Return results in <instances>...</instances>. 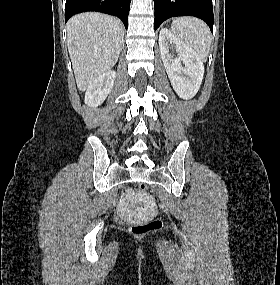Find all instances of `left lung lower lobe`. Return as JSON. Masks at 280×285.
Instances as JSON below:
<instances>
[{"mask_svg":"<svg viewBox=\"0 0 280 285\" xmlns=\"http://www.w3.org/2000/svg\"><path fill=\"white\" fill-rule=\"evenodd\" d=\"M155 30L166 19L175 16H195L204 20L213 31L212 0H154Z\"/></svg>","mask_w":280,"mask_h":285,"instance_id":"left-lung-lower-lobe-1","label":"left lung lower lobe"}]
</instances>
